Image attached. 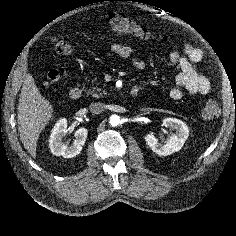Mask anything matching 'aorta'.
<instances>
[{"mask_svg":"<svg viewBox=\"0 0 236 236\" xmlns=\"http://www.w3.org/2000/svg\"><path fill=\"white\" fill-rule=\"evenodd\" d=\"M110 124L112 126H117L120 124V117L118 115H112L110 117Z\"/></svg>","mask_w":236,"mask_h":236,"instance_id":"obj_1","label":"aorta"}]
</instances>
